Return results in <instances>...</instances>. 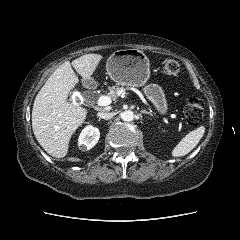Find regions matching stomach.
Wrapping results in <instances>:
<instances>
[{"instance_id":"obj_1","label":"stomach","mask_w":240,"mask_h":240,"mask_svg":"<svg viewBox=\"0 0 240 240\" xmlns=\"http://www.w3.org/2000/svg\"><path fill=\"white\" fill-rule=\"evenodd\" d=\"M106 70L111 79L122 86L142 87L144 94L155 108L166 114L168 106L163 89L157 84H148L150 63L147 56L138 49L115 51L107 60Z\"/></svg>"}]
</instances>
